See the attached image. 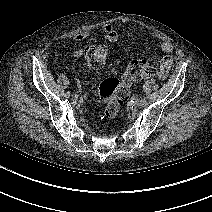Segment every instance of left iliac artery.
<instances>
[{
    "label": "left iliac artery",
    "instance_id": "1",
    "mask_svg": "<svg viewBox=\"0 0 212 212\" xmlns=\"http://www.w3.org/2000/svg\"><path fill=\"white\" fill-rule=\"evenodd\" d=\"M147 104H148L147 100L145 98H142L141 99V106L145 107V106H147Z\"/></svg>",
    "mask_w": 212,
    "mask_h": 212
}]
</instances>
